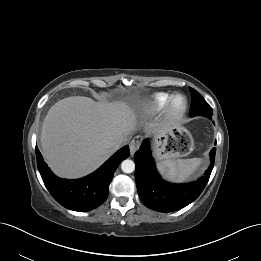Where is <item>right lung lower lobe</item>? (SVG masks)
<instances>
[{"instance_id":"98d812e1","label":"right lung lower lobe","mask_w":261,"mask_h":261,"mask_svg":"<svg viewBox=\"0 0 261 261\" xmlns=\"http://www.w3.org/2000/svg\"><path fill=\"white\" fill-rule=\"evenodd\" d=\"M129 155V146H125L94 173L81 179L67 180L56 177L50 171L36 147L38 170L50 194L62 206L80 212L97 208L107 199L113 174Z\"/></svg>"}]
</instances>
